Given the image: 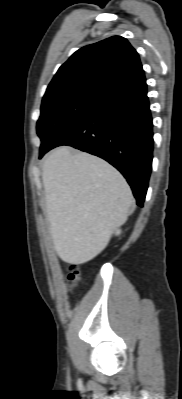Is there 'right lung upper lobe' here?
Wrapping results in <instances>:
<instances>
[{"instance_id": "right-lung-upper-lobe-1", "label": "right lung upper lobe", "mask_w": 182, "mask_h": 399, "mask_svg": "<svg viewBox=\"0 0 182 399\" xmlns=\"http://www.w3.org/2000/svg\"><path fill=\"white\" fill-rule=\"evenodd\" d=\"M146 84L136 50L121 36H113L76 51L57 71L43 101L70 94L104 99Z\"/></svg>"}]
</instances>
